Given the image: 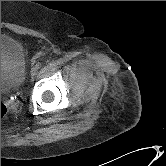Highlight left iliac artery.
<instances>
[{
  "mask_svg": "<svg viewBox=\"0 0 166 166\" xmlns=\"http://www.w3.org/2000/svg\"><path fill=\"white\" fill-rule=\"evenodd\" d=\"M41 66H42L41 63L36 64L37 69L41 68Z\"/></svg>",
  "mask_w": 166,
  "mask_h": 166,
  "instance_id": "1",
  "label": "left iliac artery"
}]
</instances>
